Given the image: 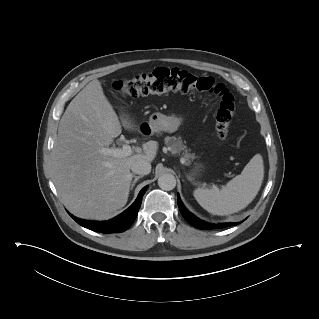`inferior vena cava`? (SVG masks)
Wrapping results in <instances>:
<instances>
[{"mask_svg": "<svg viewBox=\"0 0 319 319\" xmlns=\"http://www.w3.org/2000/svg\"><path fill=\"white\" fill-rule=\"evenodd\" d=\"M131 170L134 174L147 175L151 172V164L144 159H138L131 164Z\"/></svg>", "mask_w": 319, "mask_h": 319, "instance_id": "obj_1", "label": "inferior vena cava"}]
</instances>
